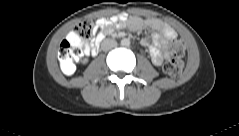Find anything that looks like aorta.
Wrapping results in <instances>:
<instances>
[{"label":"aorta","instance_id":"762f6f07","mask_svg":"<svg viewBox=\"0 0 239 136\" xmlns=\"http://www.w3.org/2000/svg\"><path fill=\"white\" fill-rule=\"evenodd\" d=\"M121 45L128 47L130 45V40L128 38H124L121 40Z\"/></svg>","mask_w":239,"mask_h":136}]
</instances>
